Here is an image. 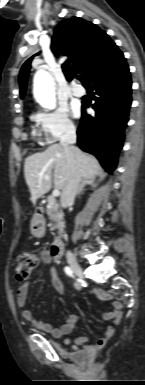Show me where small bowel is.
I'll return each instance as SVG.
<instances>
[{
    "label": "small bowel",
    "mask_w": 145,
    "mask_h": 385,
    "mask_svg": "<svg viewBox=\"0 0 145 385\" xmlns=\"http://www.w3.org/2000/svg\"><path fill=\"white\" fill-rule=\"evenodd\" d=\"M39 257L42 263L50 264L55 257L52 256L50 250H41L39 253ZM49 274L51 276V282L54 289L59 294H64V285L60 278L58 277L57 269L52 266L49 269ZM76 289L80 290L81 285L75 283ZM29 294V284L23 283L19 286L17 290L16 302L18 307L21 309L22 318L32 323L36 328L48 332L52 334L54 337H63L69 335L76 323L79 320V316L77 314L68 315L66 321L60 327H53L50 323L38 320L34 317L33 313L26 307L27 299ZM91 295L100 298L103 301H110L113 299V296L110 293L105 292L102 289H92L90 292ZM123 304L120 301H115L113 303V309L111 311L105 312L102 314V319L106 321H112L113 325H110L106 328L104 335L98 339L95 343L90 342L89 337L83 336L76 339L74 342L71 341L69 337H65L63 342L65 345L72 344V348L77 351L79 347L85 345L87 348L99 349L103 347L112 337L114 333V325L118 324L122 317Z\"/></svg>",
    "instance_id": "c3829d8e"
}]
</instances>
